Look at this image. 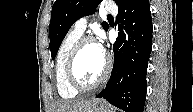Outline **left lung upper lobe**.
Here are the masks:
<instances>
[{
  "mask_svg": "<svg viewBox=\"0 0 193 112\" xmlns=\"http://www.w3.org/2000/svg\"><path fill=\"white\" fill-rule=\"evenodd\" d=\"M102 0H56L52 7L51 22L49 26L50 51L52 59L73 23L79 18L92 14ZM118 9L123 7L129 0H114ZM107 31L108 23H102Z\"/></svg>",
  "mask_w": 193,
  "mask_h": 112,
  "instance_id": "left-lung-upper-lobe-1",
  "label": "left lung upper lobe"
}]
</instances>
